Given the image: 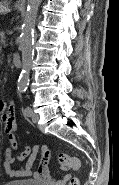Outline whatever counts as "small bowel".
I'll use <instances>...</instances> for the list:
<instances>
[{"label":"small bowel","instance_id":"c3829d8e","mask_svg":"<svg viewBox=\"0 0 119 185\" xmlns=\"http://www.w3.org/2000/svg\"><path fill=\"white\" fill-rule=\"evenodd\" d=\"M0 113L5 139L9 142V146L4 150L5 160L3 162V169L5 173L13 178L32 176L37 180L47 182L48 185H66L71 178L70 174H65L57 180L52 179L50 176L48 169L50 151L47 146L39 144H36L33 147L25 146L21 153L15 154L18 144L16 142L17 123L14 116L13 104L1 100ZM36 160L37 165L35 170H33ZM16 162H25V166L16 168L14 166Z\"/></svg>","mask_w":119,"mask_h":185}]
</instances>
